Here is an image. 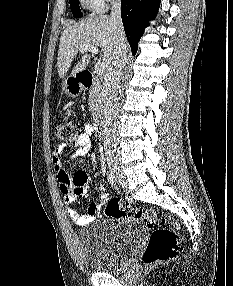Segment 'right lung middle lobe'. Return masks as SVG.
<instances>
[{
	"instance_id": "right-lung-middle-lobe-1",
	"label": "right lung middle lobe",
	"mask_w": 233,
	"mask_h": 286,
	"mask_svg": "<svg viewBox=\"0 0 233 286\" xmlns=\"http://www.w3.org/2000/svg\"><path fill=\"white\" fill-rule=\"evenodd\" d=\"M72 14L75 18L82 17V13L78 4V0H69Z\"/></svg>"
}]
</instances>
